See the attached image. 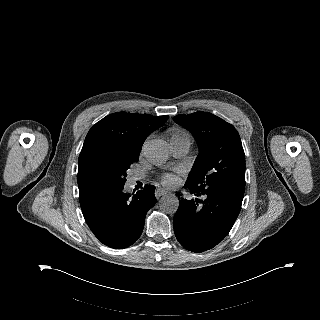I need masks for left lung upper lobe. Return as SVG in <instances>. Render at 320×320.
Returning a JSON list of instances; mask_svg holds the SVG:
<instances>
[{
  "label": "left lung upper lobe",
  "mask_w": 320,
  "mask_h": 320,
  "mask_svg": "<svg viewBox=\"0 0 320 320\" xmlns=\"http://www.w3.org/2000/svg\"><path fill=\"white\" fill-rule=\"evenodd\" d=\"M176 123L195 137L199 155L186 185L197 193L229 188L245 191V155L236 129L223 119L208 113L177 115Z\"/></svg>",
  "instance_id": "obj_1"
}]
</instances>
